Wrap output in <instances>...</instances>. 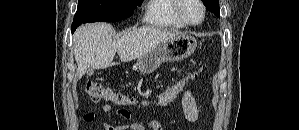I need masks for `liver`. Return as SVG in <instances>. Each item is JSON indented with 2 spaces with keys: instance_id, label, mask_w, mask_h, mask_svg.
Here are the masks:
<instances>
[{
  "instance_id": "6515ba94",
  "label": "liver",
  "mask_w": 299,
  "mask_h": 130,
  "mask_svg": "<svg viewBox=\"0 0 299 130\" xmlns=\"http://www.w3.org/2000/svg\"><path fill=\"white\" fill-rule=\"evenodd\" d=\"M177 35V31L145 26L115 36L114 28L108 23L81 25L73 35L78 77L81 78L88 68L105 69L116 65L113 62L116 53L122 62H128Z\"/></svg>"
}]
</instances>
